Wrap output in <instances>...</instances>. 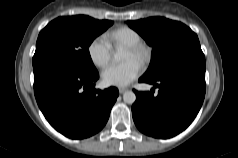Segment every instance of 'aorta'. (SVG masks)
<instances>
[{
    "label": "aorta",
    "mask_w": 238,
    "mask_h": 158,
    "mask_svg": "<svg viewBox=\"0 0 238 158\" xmlns=\"http://www.w3.org/2000/svg\"><path fill=\"white\" fill-rule=\"evenodd\" d=\"M114 59L117 60V61L120 60L121 59L120 53H115L114 54ZM123 100L127 104H133L135 102V100H136V95L132 91H126L123 94Z\"/></svg>",
    "instance_id": "762f6f07"
}]
</instances>
